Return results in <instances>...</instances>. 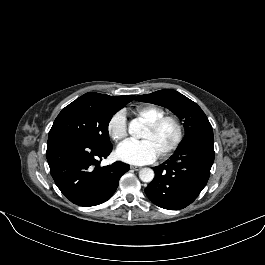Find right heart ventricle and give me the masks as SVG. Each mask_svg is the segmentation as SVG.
Masks as SVG:
<instances>
[{"mask_svg":"<svg viewBox=\"0 0 265 265\" xmlns=\"http://www.w3.org/2000/svg\"><path fill=\"white\" fill-rule=\"evenodd\" d=\"M134 114L143 123L148 124L164 116L165 111L162 108L152 104H142L138 105L134 109Z\"/></svg>","mask_w":265,"mask_h":265,"instance_id":"1","label":"right heart ventricle"}]
</instances>
